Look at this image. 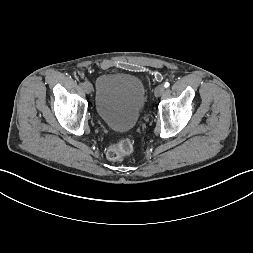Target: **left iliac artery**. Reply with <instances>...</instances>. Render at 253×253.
Here are the masks:
<instances>
[{"instance_id": "obj_1", "label": "left iliac artery", "mask_w": 253, "mask_h": 253, "mask_svg": "<svg viewBox=\"0 0 253 253\" xmlns=\"http://www.w3.org/2000/svg\"><path fill=\"white\" fill-rule=\"evenodd\" d=\"M169 83L168 82H166L165 84H164V86L167 88V87H169Z\"/></svg>"}]
</instances>
